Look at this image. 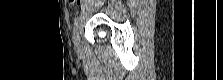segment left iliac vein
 I'll use <instances>...</instances> for the list:
<instances>
[{"instance_id": "obj_1", "label": "left iliac vein", "mask_w": 223, "mask_h": 80, "mask_svg": "<svg viewBox=\"0 0 223 80\" xmlns=\"http://www.w3.org/2000/svg\"><path fill=\"white\" fill-rule=\"evenodd\" d=\"M73 39H74V45L79 48L80 46V38H79V33L78 31L73 34Z\"/></svg>"}]
</instances>
